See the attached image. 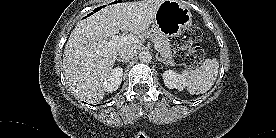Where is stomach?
<instances>
[{
	"label": "stomach",
	"instance_id": "1",
	"mask_svg": "<svg viewBox=\"0 0 276 138\" xmlns=\"http://www.w3.org/2000/svg\"><path fill=\"white\" fill-rule=\"evenodd\" d=\"M192 23L191 12L178 0H163L156 11L153 27L165 36H177Z\"/></svg>",
	"mask_w": 276,
	"mask_h": 138
}]
</instances>
